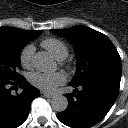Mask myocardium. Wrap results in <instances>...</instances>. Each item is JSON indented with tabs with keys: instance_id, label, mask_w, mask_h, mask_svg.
<instances>
[{
	"instance_id": "1",
	"label": "myocardium",
	"mask_w": 128,
	"mask_h": 128,
	"mask_svg": "<svg viewBox=\"0 0 128 128\" xmlns=\"http://www.w3.org/2000/svg\"><path fill=\"white\" fill-rule=\"evenodd\" d=\"M66 67H67V68H70V65H69V64H67V65H66Z\"/></svg>"
}]
</instances>
